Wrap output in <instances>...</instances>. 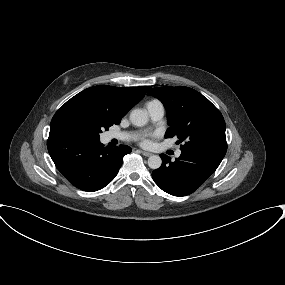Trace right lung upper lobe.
<instances>
[{
	"instance_id": "obj_1",
	"label": "right lung upper lobe",
	"mask_w": 285,
	"mask_h": 285,
	"mask_svg": "<svg viewBox=\"0 0 285 285\" xmlns=\"http://www.w3.org/2000/svg\"><path fill=\"white\" fill-rule=\"evenodd\" d=\"M151 89L150 86L122 88L98 85L87 88L68 100L54 115L50 130L60 127L63 117L74 114H100L119 124L128 111Z\"/></svg>"
}]
</instances>
